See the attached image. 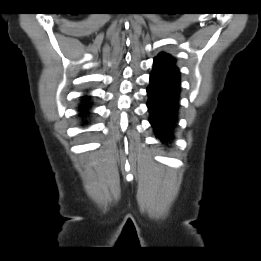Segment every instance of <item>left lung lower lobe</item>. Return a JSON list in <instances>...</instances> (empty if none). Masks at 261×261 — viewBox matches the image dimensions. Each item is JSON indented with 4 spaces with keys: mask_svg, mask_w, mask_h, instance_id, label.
Returning <instances> with one entry per match:
<instances>
[{
    "mask_svg": "<svg viewBox=\"0 0 261 261\" xmlns=\"http://www.w3.org/2000/svg\"><path fill=\"white\" fill-rule=\"evenodd\" d=\"M149 121L162 142L172 139L179 105L180 73L170 62L154 59L147 88Z\"/></svg>",
    "mask_w": 261,
    "mask_h": 261,
    "instance_id": "left-lung-lower-lobe-1",
    "label": "left lung lower lobe"
}]
</instances>
